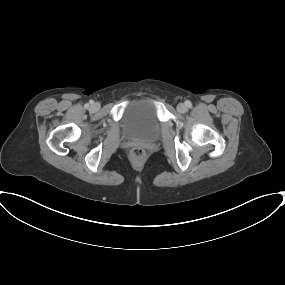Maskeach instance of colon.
I'll list each match as a JSON object with an SVG mask.
<instances>
[{
    "label": "colon",
    "mask_w": 285,
    "mask_h": 285,
    "mask_svg": "<svg viewBox=\"0 0 285 285\" xmlns=\"http://www.w3.org/2000/svg\"><path fill=\"white\" fill-rule=\"evenodd\" d=\"M145 155V151L141 147H134L131 150V156L135 159H142Z\"/></svg>",
    "instance_id": "1"
}]
</instances>
